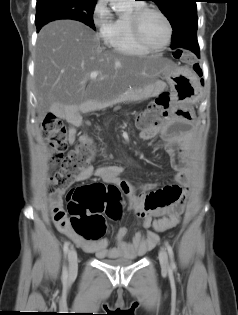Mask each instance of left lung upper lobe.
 Returning <instances> with one entry per match:
<instances>
[{
    "label": "left lung upper lobe",
    "mask_w": 238,
    "mask_h": 315,
    "mask_svg": "<svg viewBox=\"0 0 238 315\" xmlns=\"http://www.w3.org/2000/svg\"><path fill=\"white\" fill-rule=\"evenodd\" d=\"M170 21L172 41L195 39L198 28L196 0H151ZM172 42V43H173Z\"/></svg>",
    "instance_id": "1"
}]
</instances>
